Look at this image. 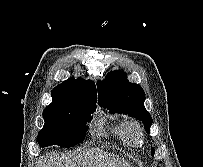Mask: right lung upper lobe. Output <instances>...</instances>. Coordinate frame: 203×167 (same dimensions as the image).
Segmentation results:
<instances>
[{"mask_svg": "<svg viewBox=\"0 0 203 167\" xmlns=\"http://www.w3.org/2000/svg\"><path fill=\"white\" fill-rule=\"evenodd\" d=\"M52 103L44 110H53L65 107L72 103L83 101L97 102V93L94 82L81 78H70L52 90Z\"/></svg>", "mask_w": 203, "mask_h": 167, "instance_id": "right-lung-upper-lobe-1", "label": "right lung upper lobe"}]
</instances>
